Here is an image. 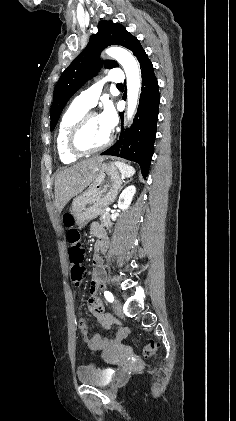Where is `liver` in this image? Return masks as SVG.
I'll return each mask as SVG.
<instances>
[{"label":"liver","mask_w":236,"mask_h":421,"mask_svg":"<svg viewBox=\"0 0 236 421\" xmlns=\"http://www.w3.org/2000/svg\"><path fill=\"white\" fill-rule=\"evenodd\" d=\"M104 158L106 156H92V158L81 160L73 166H64L62 170H57L54 190L58 213L63 211L65 204L72 196H76L80 190L85 188Z\"/></svg>","instance_id":"1"}]
</instances>
